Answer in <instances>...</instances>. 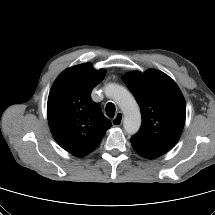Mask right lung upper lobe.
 <instances>
[{
  "label": "right lung upper lobe",
  "instance_id": "1",
  "mask_svg": "<svg viewBox=\"0 0 215 215\" xmlns=\"http://www.w3.org/2000/svg\"><path fill=\"white\" fill-rule=\"evenodd\" d=\"M106 71L94 70L84 63L63 71L55 80L48 97L47 115L56 142L77 157L91 153L112 124L99 105L92 101V89Z\"/></svg>",
  "mask_w": 215,
  "mask_h": 215
}]
</instances>
